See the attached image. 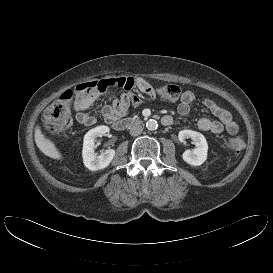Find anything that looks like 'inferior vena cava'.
<instances>
[{"instance_id": "1", "label": "inferior vena cava", "mask_w": 273, "mask_h": 273, "mask_svg": "<svg viewBox=\"0 0 273 273\" xmlns=\"http://www.w3.org/2000/svg\"><path fill=\"white\" fill-rule=\"evenodd\" d=\"M142 131H143V128L139 124H134L130 128V134L132 136H138V135H140L142 133Z\"/></svg>"}]
</instances>
